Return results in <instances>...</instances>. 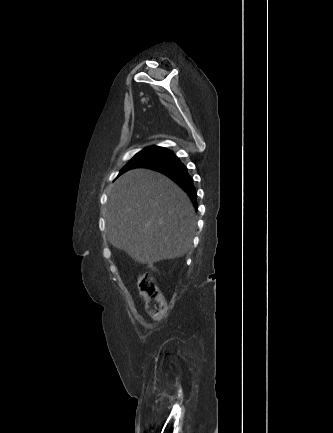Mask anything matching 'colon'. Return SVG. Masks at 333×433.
Listing matches in <instances>:
<instances>
[{"label":"colon","instance_id":"colon-1","mask_svg":"<svg viewBox=\"0 0 333 433\" xmlns=\"http://www.w3.org/2000/svg\"><path fill=\"white\" fill-rule=\"evenodd\" d=\"M137 285L140 294L146 300L148 314L154 320H162L166 314V301L154 279L148 274H141Z\"/></svg>","mask_w":333,"mask_h":433}]
</instances>
